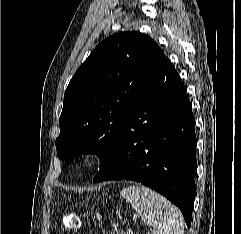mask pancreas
<instances>
[{
	"label": "pancreas",
	"mask_w": 241,
	"mask_h": 234,
	"mask_svg": "<svg viewBox=\"0 0 241 234\" xmlns=\"http://www.w3.org/2000/svg\"><path fill=\"white\" fill-rule=\"evenodd\" d=\"M113 234H123L122 232H120L119 230H116L113 232Z\"/></svg>",
	"instance_id": "obj_1"
}]
</instances>
